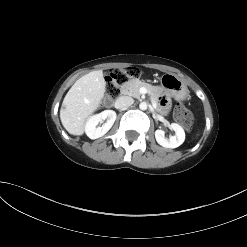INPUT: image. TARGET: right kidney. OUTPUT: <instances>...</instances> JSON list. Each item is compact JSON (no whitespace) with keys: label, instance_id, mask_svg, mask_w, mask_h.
<instances>
[{"label":"right kidney","instance_id":"obj_1","mask_svg":"<svg viewBox=\"0 0 247 247\" xmlns=\"http://www.w3.org/2000/svg\"><path fill=\"white\" fill-rule=\"evenodd\" d=\"M116 112L113 110H105L99 114H96L90 117L85 125L86 135L90 139H97L105 135L113 126L116 120ZM107 120L101 127H97V125L103 120Z\"/></svg>","mask_w":247,"mask_h":247}]
</instances>
